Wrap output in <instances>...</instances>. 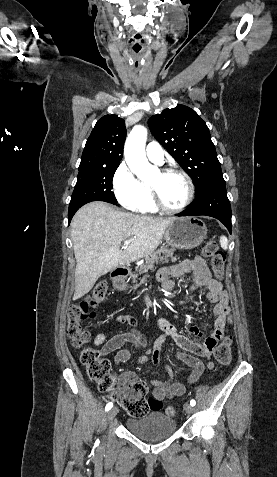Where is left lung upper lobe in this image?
Wrapping results in <instances>:
<instances>
[{
    "label": "left lung upper lobe",
    "mask_w": 277,
    "mask_h": 477,
    "mask_svg": "<svg viewBox=\"0 0 277 477\" xmlns=\"http://www.w3.org/2000/svg\"><path fill=\"white\" fill-rule=\"evenodd\" d=\"M148 124L154 137L190 175L197 193L210 177L222 173L209 129L193 109L184 105L167 108Z\"/></svg>",
    "instance_id": "obj_1"
}]
</instances>
